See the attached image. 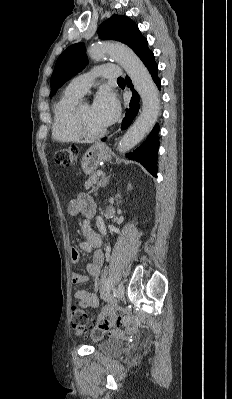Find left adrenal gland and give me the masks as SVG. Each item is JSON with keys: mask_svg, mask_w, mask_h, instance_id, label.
Listing matches in <instances>:
<instances>
[{"mask_svg": "<svg viewBox=\"0 0 232 399\" xmlns=\"http://www.w3.org/2000/svg\"><path fill=\"white\" fill-rule=\"evenodd\" d=\"M108 178H110V176H108ZM108 178H102L99 186H96L95 194H97L98 188H105V186H106V184L108 182Z\"/></svg>", "mask_w": 232, "mask_h": 399, "instance_id": "a2214340", "label": "left adrenal gland"}]
</instances>
